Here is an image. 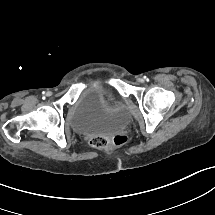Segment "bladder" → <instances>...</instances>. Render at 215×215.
Returning a JSON list of instances; mask_svg holds the SVG:
<instances>
[{
	"instance_id": "bladder-1",
	"label": "bladder",
	"mask_w": 215,
	"mask_h": 215,
	"mask_svg": "<svg viewBox=\"0 0 215 215\" xmlns=\"http://www.w3.org/2000/svg\"><path fill=\"white\" fill-rule=\"evenodd\" d=\"M128 119L129 115L124 107L109 113L101 108L84 110L78 107L71 119V128L83 136H111L122 131Z\"/></svg>"
}]
</instances>
